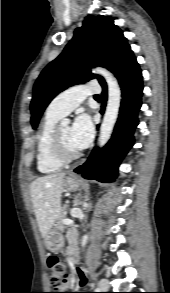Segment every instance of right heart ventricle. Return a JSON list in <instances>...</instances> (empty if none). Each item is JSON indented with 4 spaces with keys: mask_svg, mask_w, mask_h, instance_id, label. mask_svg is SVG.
<instances>
[{
    "mask_svg": "<svg viewBox=\"0 0 170 293\" xmlns=\"http://www.w3.org/2000/svg\"><path fill=\"white\" fill-rule=\"evenodd\" d=\"M60 117L45 113L36 141V165L39 172L49 174L60 170L63 162L56 160L50 150L51 133Z\"/></svg>",
    "mask_w": 170,
    "mask_h": 293,
    "instance_id": "obj_1",
    "label": "right heart ventricle"
}]
</instances>
